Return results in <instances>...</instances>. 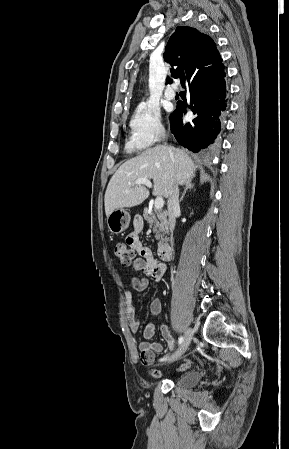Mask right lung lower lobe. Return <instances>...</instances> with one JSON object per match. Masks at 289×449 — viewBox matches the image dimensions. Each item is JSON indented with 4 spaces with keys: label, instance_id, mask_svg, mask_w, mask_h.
Here are the masks:
<instances>
[{
    "label": "right lung lower lobe",
    "instance_id": "98d812e1",
    "mask_svg": "<svg viewBox=\"0 0 289 449\" xmlns=\"http://www.w3.org/2000/svg\"><path fill=\"white\" fill-rule=\"evenodd\" d=\"M224 65L216 67L206 77L188 84L190 106L178 102L176 110L170 115L171 132L177 142L199 152L204 148H214L219 143V133L226 109V84ZM189 107L194 118L183 126L180 121L183 111Z\"/></svg>",
    "mask_w": 289,
    "mask_h": 449
}]
</instances>
